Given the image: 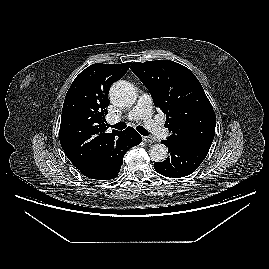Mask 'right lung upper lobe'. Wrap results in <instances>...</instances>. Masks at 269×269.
<instances>
[{
  "label": "right lung upper lobe",
  "instance_id": "1",
  "mask_svg": "<svg viewBox=\"0 0 269 269\" xmlns=\"http://www.w3.org/2000/svg\"><path fill=\"white\" fill-rule=\"evenodd\" d=\"M129 63H95L71 84L63 105L60 143L78 170L93 169L116 147L121 131L107 133L105 115L112 83L122 77Z\"/></svg>",
  "mask_w": 269,
  "mask_h": 269
}]
</instances>
